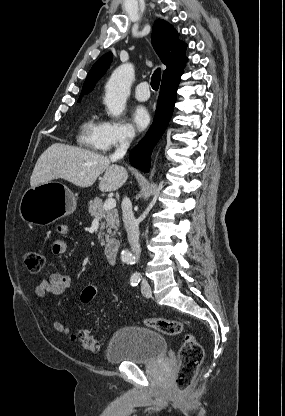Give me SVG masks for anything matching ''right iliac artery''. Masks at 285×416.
I'll use <instances>...</instances> for the list:
<instances>
[{"instance_id":"82829eb1","label":"right iliac artery","mask_w":285,"mask_h":416,"mask_svg":"<svg viewBox=\"0 0 285 416\" xmlns=\"http://www.w3.org/2000/svg\"><path fill=\"white\" fill-rule=\"evenodd\" d=\"M140 280H141L140 273H137L136 272V273L132 274V276L130 278V284H131V286H137L138 283L140 282Z\"/></svg>"}]
</instances>
